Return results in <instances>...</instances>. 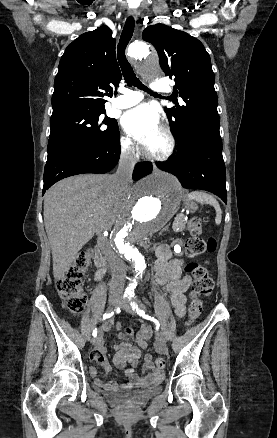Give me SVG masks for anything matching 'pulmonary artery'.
Listing matches in <instances>:
<instances>
[{"instance_id": "obj_1", "label": "pulmonary artery", "mask_w": 277, "mask_h": 438, "mask_svg": "<svg viewBox=\"0 0 277 438\" xmlns=\"http://www.w3.org/2000/svg\"><path fill=\"white\" fill-rule=\"evenodd\" d=\"M156 82L151 83V88L156 90H164L166 86L172 85V80H161V78H156ZM142 90L139 87H123L122 94L123 98L115 101L117 107L121 109L130 108L138 104L142 100L141 96Z\"/></svg>"}]
</instances>
